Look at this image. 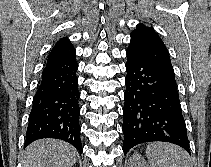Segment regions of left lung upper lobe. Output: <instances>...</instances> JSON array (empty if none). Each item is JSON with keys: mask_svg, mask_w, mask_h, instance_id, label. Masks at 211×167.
Here are the masks:
<instances>
[{"mask_svg": "<svg viewBox=\"0 0 211 167\" xmlns=\"http://www.w3.org/2000/svg\"><path fill=\"white\" fill-rule=\"evenodd\" d=\"M127 50L145 55L175 79L169 52L152 27L138 24L136 29L131 32V41Z\"/></svg>", "mask_w": 211, "mask_h": 167, "instance_id": "left-lung-upper-lobe-1", "label": "left lung upper lobe"}]
</instances>
